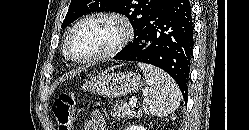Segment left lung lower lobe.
Listing matches in <instances>:
<instances>
[{
	"label": "left lung lower lobe",
	"mask_w": 249,
	"mask_h": 130,
	"mask_svg": "<svg viewBox=\"0 0 249 130\" xmlns=\"http://www.w3.org/2000/svg\"><path fill=\"white\" fill-rule=\"evenodd\" d=\"M193 30L190 2L165 0L143 23L133 42L114 59L143 62L163 69L177 82L187 102Z\"/></svg>",
	"instance_id": "0a47b994"
}]
</instances>
